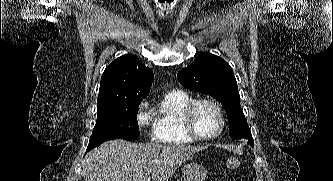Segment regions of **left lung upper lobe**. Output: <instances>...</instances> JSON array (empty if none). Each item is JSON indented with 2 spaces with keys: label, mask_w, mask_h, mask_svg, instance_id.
<instances>
[{
  "label": "left lung upper lobe",
  "mask_w": 333,
  "mask_h": 181,
  "mask_svg": "<svg viewBox=\"0 0 333 181\" xmlns=\"http://www.w3.org/2000/svg\"><path fill=\"white\" fill-rule=\"evenodd\" d=\"M178 81L187 89L208 94L226 109L232 139L246 138L253 143L250 128L240 106V95L231 66L211 53H202L180 70Z\"/></svg>",
  "instance_id": "5c2ea615"
}]
</instances>
